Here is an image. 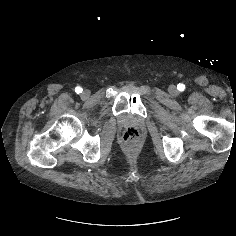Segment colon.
<instances>
[{
	"mask_svg": "<svg viewBox=\"0 0 236 236\" xmlns=\"http://www.w3.org/2000/svg\"><path fill=\"white\" fill-rule=\"evenodd\" d=\"M140 139V131L136 127H129L123 134L126 143L137 142Z\"/></svg>",
	"mask_w": 236,
	"mask_h": 236,
	"instance_id": "colon-1",
	"label": "colon"
}]
</instances>
